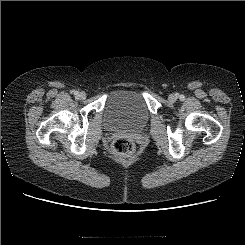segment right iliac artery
Instances as JSON below:
<instances>
[{"mask_svg":"<svg viewBox=\"0 0 245 245\" xmlns=\"http://www.w3.org/2000/svg\"><path fill=\"white\" fill-rule=\"evenodd\" d=\"M73 93H74V95H78L79 92L74 90Z\"/></svg>","mask_w":245,"mask_h":245,"instance_id":"82829eb1","label":"right iliac artery"}]
</instances>
